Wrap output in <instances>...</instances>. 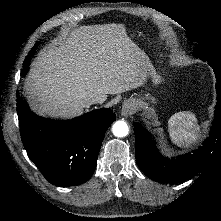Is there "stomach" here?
Segmentation results:
<instances>
[{"instance_id": "stomach-1", "label": "stomach", "mask_w": 221, "mask_h": 221, "mask_svg": "<svg viewBox=\"0 0 221 221\" xmlns=\"http://www.w3.org/2000/svg\"><path fill=\"white\" fill-rule=\"evenodd\" d=\"M146 70L148 72V76L151 79V81L153 82L154 85H159L162 82V77L160 76V74L156 71V69L154 68V66L147 60L146 64H145ZM139 104L142 105L143 103L141 102V100L139 99Z\"/></svg>"}]
</instances>
